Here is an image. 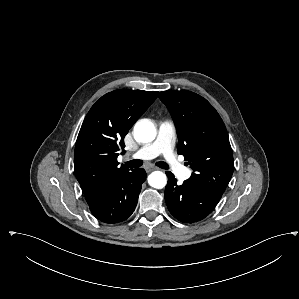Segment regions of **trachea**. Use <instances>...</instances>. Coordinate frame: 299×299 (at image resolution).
<instances>
[{
  "instance_id": "3493384b",
  "label": "trachea",
  "mask_w": 299,
  "mask_h": 299,
  "mask_svg": "<svg viewBox=\"0 0 299 299\" xmlns=\"http://www.w3.org/2000/svg\"><path fill=\"white\" fill-rule=\"evenodd\" d=\"M128 167H131V168H136V167H140L143 165V162L141 160H138V159H134V160H131V161H128L125 163ZM156 165L160 168H163V169H168V165L165 163V162H157Z\"/></svg>"
}]
</instances>
